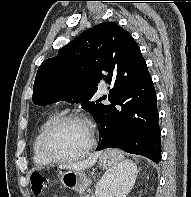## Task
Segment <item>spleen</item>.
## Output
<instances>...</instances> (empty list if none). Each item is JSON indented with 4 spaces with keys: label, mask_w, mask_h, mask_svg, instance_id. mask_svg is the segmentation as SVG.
Instances as JSON below:
<instances>
[{
    "label": "spleen",
    "mask_w": 191,
    "mask_h": 197,
    "mask_svg": "<svg viewBox=\"0 0 191 197\" xmlns=\"http://www.w3.org/2000/svg\"><path fill=\"white\" fill-rule=\"evenodd\" d=\"M120 154L118 150H113ZM137 166L131 160H121L113 169L105 175L107 188L104 193L98 189L101 197H126L134 186L137 176Z\"/></svg>",
    "instance_id": "1"
}]
</instances>
